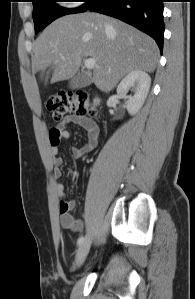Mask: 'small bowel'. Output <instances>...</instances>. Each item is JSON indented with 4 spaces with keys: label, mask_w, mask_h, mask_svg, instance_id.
I'll list each match as a JSON object with an SVG mask.
<instances>
[{
    "label": "small bowel",
    "mask_w": 195,
    "mask_h": 299,
    "mask_svg": "<svg viewBox=\"0 0 195 299\" xmlns=\"http://www.w3.org/2000/svg\"><path fill=\"white\" fill-rule=\"evenodd\" d=\"M78 125L85 131L86 142L81 147H73L71 149V155L73 158H82L86 154L93 151L99 142V128L98 126L89 120L88 118L70 115L64 119V121L56 128H53L49 133V143L51 146V153L54 163L53 175L56 180L62 177V170L60 168L61 159L58 157V148L62 140L70 137V132L67 129L68 125ZM55 194L59 199V211H60V225L62 228L79 231L83 223L80 219H77L72 214L76 203L74 200H65V194L63 185L59 182L55 183L54 186Z\"/></svg>",
    "instance_id": "obj_1"
}]
</instances>
